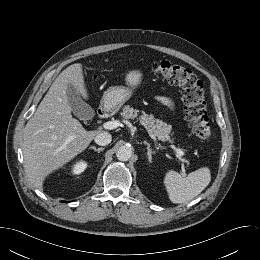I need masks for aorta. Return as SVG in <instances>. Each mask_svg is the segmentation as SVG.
Instances as JSON below:
<instances>
[{"mask_svg":"<svg viewBox=\"0 0 260 260\" xmlns=\"http://www.w3.org/2000/svg\"><path fill=\"white\" fill-rule=\"evenodd\" d=\"M119 161H128L132 156V148L127 145L120 146L116 152Z\"/></svg>","mask_w":260,"mask_h":260,"instance_id":"obj_1","label":"aorta"}]
</instances>
